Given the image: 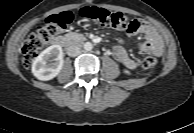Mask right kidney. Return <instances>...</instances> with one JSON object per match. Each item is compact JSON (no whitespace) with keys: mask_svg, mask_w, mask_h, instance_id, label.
<instances>
[{"mask_svg":"<svg viewBox=\"0 0 194 133\" xmlns=\"http://www.w3.org/2000/svg\"><path fill=\"white\" fill-rule=\"evenodd\" d=\"M64 64L61 46L52 45L40 53L32 64L33 75L42 81L56 77Z\"/></svg>","mask_w":194,"mask_h":133,"instance_id":"ca27d5eb","label":"right kidney"}]
</instances>
